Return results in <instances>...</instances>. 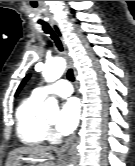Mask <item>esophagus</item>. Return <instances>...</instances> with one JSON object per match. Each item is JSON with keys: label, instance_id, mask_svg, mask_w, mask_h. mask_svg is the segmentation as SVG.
<instances>
[{"label": "esophagus", "instance_id": "esophagus-1", "mask_svg": "<svg viewBox=\"0 0 135 166\" xmlns=\"http://www.w3.org/2000/svg\"><path fill=\"white\" fill-rule=\"evenodd\" d=\"M50 25L52 27V29L54 30V32L57 34V36L59 37L61 43L63 44L64 47V52H65V57L68 63V66L70 68H73V60L72 58L69 56L68 53V48L67 45L65 44V40H64V36L63 33L59 27V25L56 22H50ZM75 77H76V72H75ZM75 139V135H72L67 141L66 143L60 148L61 151H64L65 149H67L69 147V145L74 141Z\"/></svg>", "mask_w": 135, "mask_h": 166}]
</instances>
